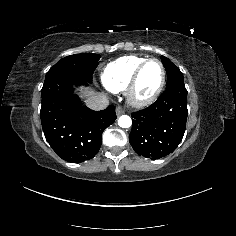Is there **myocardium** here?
Instances as JSON below:
<instances>
[{"label":"myocardium","mask_w":236,"mask_h":236,"mask_svg":"<svg viewBox=\"0 0 236 236\" xmlns=\"http://www.w3.org/2000/svg\"><path fill=\"white\" fill-rule=\"evenodd\" d=\"M150 62H157L161 68H162V78L161 81L157 87V89L154 91L153 94H151L149 97L147 98H140L137 94H136V87H137V83L139 80V77L143 71V69L150 63ZM166 78H167V72H166V67L164 65V63L158 59V58H147L145 61H143L135 70L131 81L126 89V98L127 101L130 105L137 107V108H142V107H147L152 105L160 96V94L162 93V90L166 84Z\"/></svg>","instance_id":"myocardium-1"}]
</instances>
